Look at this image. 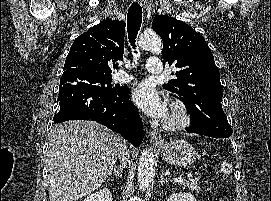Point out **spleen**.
<instances>
[{"mask_svg": "<svg viewBox=\"0 0 271 201\" xmlns=\"http://www.w3.org/2000/svg\"><path fill=\"white\" fill-rule=\"evenodd\" d=\"M232 171V165L227 162L221 163V172H223L226 176L229 175Z\"/></svg>", "mask_w": 271, "mask_h": 201, "instance_id": "3e777b00", "label": "spleen"}]
</instances>
